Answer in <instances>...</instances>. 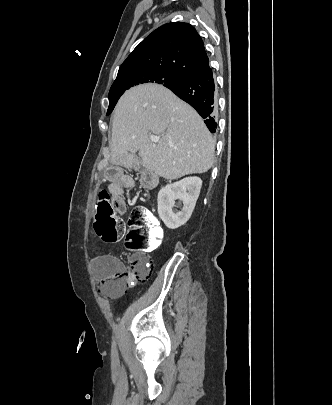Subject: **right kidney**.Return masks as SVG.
I'll list each match as a JSON object with an SVG mask.
<instances>
[{"label":"right kidney","instance_id":"right-kidney-1","mask_svg":"<svg viewBox=\"0 0 332 405\" xmlns=\"http://www.w3.org/2000/svg\"><path fill=\"white\" fill-rule=\"evenodd\" d=\"M201 186L202 180L199 177H187L161 188L157 198L158 214L167 228L176 229L189 220ZM176 199L183 202V208L175 213L173 207Z\"/></svg>","mask_w":332,"mask_h":405}]
</instances>
